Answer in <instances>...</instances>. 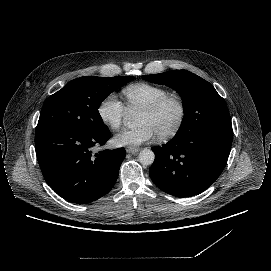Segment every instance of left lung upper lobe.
<instances>
[{
  "label": "left lung upper lobe",
  "mask_w": 271,
  "mask_h": 271,
  "mask_svg": "<svg viewBox=\"0 0 271 271\" xmlns=\"http://www.w3.org/2000/svg\"><path fill=\"white\" fill-rule=\"evenodd\" d=\"M146 81L175 88L183 98L184 118L177 133H185L208 124L231 125L224 99L214 87L187 70L144 75Z\"/></svg>",
  "instance_id": "5c2ea615"
}]
</instances>
